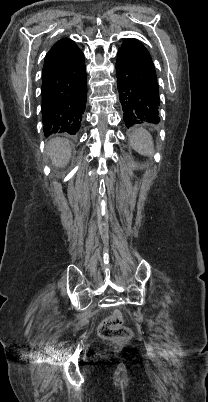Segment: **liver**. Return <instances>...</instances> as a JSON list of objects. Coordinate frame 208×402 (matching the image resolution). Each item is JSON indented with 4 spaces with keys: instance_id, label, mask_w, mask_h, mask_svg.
Returning <instances> with one entry per match:
<instances>
[{
    "instance_id": "liver-1",
    "label": "liver",
    "mask_w": 208,
    "mask_h": 402,
    "mask_svg": "<svg viewBox=\"0 0 208 402\" xmlns=\"http://www.w3.org/2000/svg\"><path fill=\"white\" fill-rule=\"evenodd\" d=\"M49 158L56 168H63L71 158V146L68 140L53 138L48 148Z\"/></svg>"
}]
</instances>
